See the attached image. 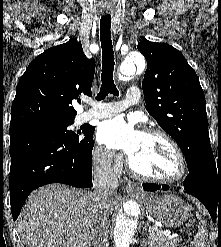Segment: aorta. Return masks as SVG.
Listing matches in <instances>:
<instances>
[{
	"mask_svg": "<svg viewBox=\"0 0 221 247\" xmlns=\"http://www.w3.org/2000/svg\"><path fill=\"white\" fill-rule=\"evenodd\" d=\"M142 70L145 67L144 58L138 54H130L120 65L119 71L122 75L130 76L135 69ZM137 228V220L129 218L125 213L117 216L116 224L113 232L115 247H130L131 238Z\"/></svg>",
	"mask_w": 221,
	"mask_h": 247,
	"instance_id": "762f6f07",
	"label": "aorta"
}]
</instances>
